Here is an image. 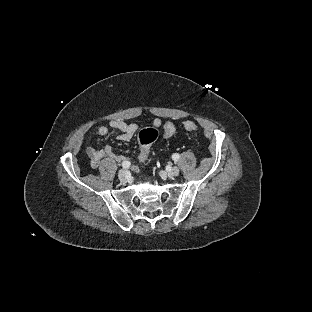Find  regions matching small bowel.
Returning a JSON list of instances; mask_svg holds the SVG:
<instances>
[{"instance_id": "1", "label": "small bowel", "mask_w": 312, "mask_h": 312, "mask_svg": "<svg viewBox=\"0 0 312 312\" xmlns=\"http://www.w3.org/2000/svg\"><path fill=\"white\" fill-rule=\"evenodd\" d=\"M161 123L162 122L159 118H156L153 121V125H155L156 127H159ZM111 129L118 131L116 134V138L118 140L128 141L138 131V125L136 123H126L122 120H113L109 123L108 126L106 125L100 126L97 129L96 134L98 136H107L110 133ZM86 151L90 158L91 166L93 168L99 167L100 162L104 157H110L118 161L124 159V157L122 155L117 154L111 146H105L102 149H96L93 146L89 145L87 146ZM133 171H136V169L133 168Z\"/></svg>"}]
</instances>
